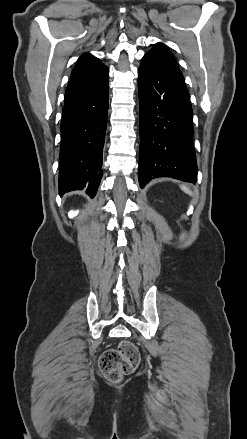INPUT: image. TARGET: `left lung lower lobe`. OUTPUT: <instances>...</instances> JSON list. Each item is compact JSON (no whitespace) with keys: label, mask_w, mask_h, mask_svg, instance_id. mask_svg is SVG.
Segmentation results:
<instances>
[{"label":"left lung lower lobe","mask_w":247,"mask_h":439,"mask_svg":"<svg viewBox=\"0 0 247 439\" xmlns=\"http://www.w3.org/2000/svg\"><path fill=\"white\" fill-rule=\"evenodd\" d=\"M138 89L141 188L160 176L196 182L192 109L185 83L142 59Z\"/></svg>","instance_id":"obj_1"}]
</instances>
